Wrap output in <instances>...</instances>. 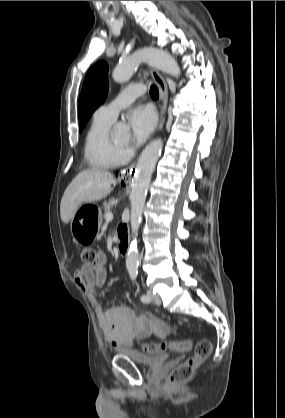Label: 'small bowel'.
Wrapping results in <instances>:
<instances>
[{
    "label": "small bowel",
    "mask_w": 285,
    "mask_h": 418,
    "mask_svg": "<svg viewBox=\"0 0 285 418\" xmlns=\"http://www.w3.org/2000/svg\"><path fill=\"white\" fill-rule=\"evenodd\" d=\"M106 256L99 252L91 264H84L76 270L75 283L89 296L102 334L115 347H131L135 338H165L171 332L170 325L152 313L136 314L125 306L104 309L97 297V288L107 285Z\"/></svg>",
    "instance_id": "1"
}]
</instances>
